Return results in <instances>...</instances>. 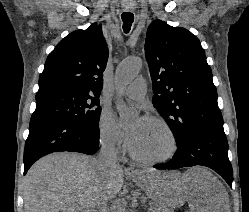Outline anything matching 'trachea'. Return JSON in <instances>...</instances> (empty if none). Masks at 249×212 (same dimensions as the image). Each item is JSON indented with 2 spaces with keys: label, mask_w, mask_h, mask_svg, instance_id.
<instances>
[{
  "label": "trachea",
  "mask_w": 249,
  "mask_h": 212,
  "mask_svg": "<svg viewBox=\"0 0 249 212\" xmlns=\"http://www.w3.org/2000/svg\"><path fill=\"white\" fill-rule=\"evenodd\" d=\"M122 21H123V30L125 33H128L131 29V25L134 21V15L133 13H128L127 11L122 13L121 15Z\"/></svg>",
  "instance_id": "obj_1"
}]
</instances>
